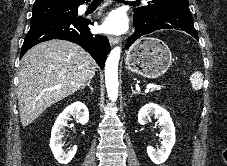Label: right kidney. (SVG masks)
Returning a JSON list of instances; mask_svg holds the SVG:
<instances>
[{
  "instance_id": "1",
  "label": "right kidney",
  "mask_w": 227,
  "mask_h": 166,
  "mask_svg": "<svg viewBox=\"0 0 227 166\" xmlns=\"http://www.w3.org/2000/svg\"><path fill=\"white\" fill-rule=\"evenodd\" d=\"M71 116L75 117L80 124L85 125L89 121L88 108L81 102L72 103L63 110L54 123L51 131L50 148L55 159L61 164H68L77 151V146H74L67 153L62 149L65 127Z\"/></svg>"
}]
</instances>
